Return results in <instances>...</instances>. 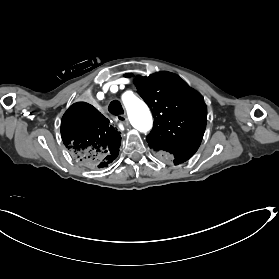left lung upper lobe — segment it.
I'll list each match as a JSON object with an SVG mask.
<instances>
[{
	"label": "left lung upper lobe",
	"mask_w": 279,
	"mask_h": 279,
	"mask_svg": "<svg viewBox=\"0 0 279 279\" xmlns=\"http://www.w3.org/2000/svg\"><path fill=\"white\" fill-rule=\"evenodd\" d=\"M134 83L155 119L146 137L148 145L167 156L193 155L200 146L207 121V109L199 93L178 75L166 71L149 77L137 76Z\"/></svg>",
	"instance_id": "left-lung-upper-lobe-1"
}]
</instances>
